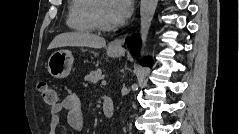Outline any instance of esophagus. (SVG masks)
<instances>
[{"instance_id": "obj_1", "label": "esophagus", "mask_w": 239, "mask_h": 134, "mask_svg": "<svg viewBox=\"0 0 239 134\" xmlns=\"http://www.w3.org/2000/svg\"><path fill=\"white\" fill-rule=\"evenodd\" d=\"M124 42H125V38H119V39L114 40L111 43V46L114 47V48L121 49V48H123Z\"/></svg>"}]
</instances>
